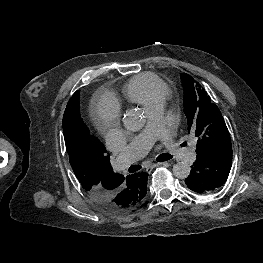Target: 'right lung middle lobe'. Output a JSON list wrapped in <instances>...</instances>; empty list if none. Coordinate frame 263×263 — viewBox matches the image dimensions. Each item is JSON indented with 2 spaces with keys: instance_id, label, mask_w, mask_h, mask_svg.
Wrapping results in <instances>:
<instances>
[{
  "instance_id": "1",
  "label": "right lung middle lobe",
  "mask_w": 263,
  "mask_h": 263,
  "mask_svg": "<svg viewBox=\"0 0 263 263\" xmlns=\"http://www.w3.org/2000/svg\"><path fill=\"white\" fill-rule=\"evenodd\" d=\"M63 126L71 130L79 138V149L75 156L77 176L82 187L91 191L97 184V160L92 153L90 131L83 123L79 111V92H76L67 104L63 116ZM93 136V135H92Z\"/></svg>"
}]
</instances>
